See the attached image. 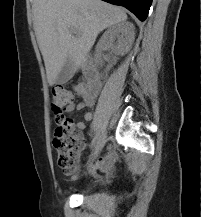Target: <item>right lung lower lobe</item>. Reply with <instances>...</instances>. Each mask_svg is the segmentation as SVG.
<instances>
[{
	"label": "right lung lower lobe",
	"mask_w": 202,
	"mask_h": 217,
	"mask_svg": "<svg viewBox=\"0 0 202 217\" xmlns=\"http://www.w3.org/2000/svg\"><path fill=\"white\" fill-rule=\"evenodd\" d=\"M114 5L126 7L140 20L147 18L152 0H103Z\"/></svg>",
	"instance_id": "98d812e1"
}]
</instances>
